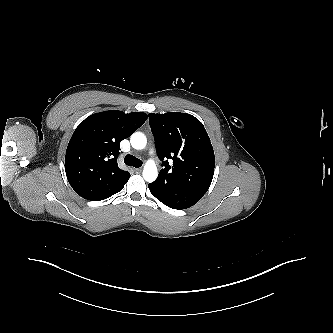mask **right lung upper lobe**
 Here are the masks:
<instances>
[{"mask_svg":"<svg viewBox=\"0 0 333 333\" xmlns=\"http://www.w3.org/2000/svg\"><path fill=\"white\" fill-rule=\"evenodd\" d=\"M148 115L110 110L89 116L74 131L65 156L67 179L74 191L90 201L119 191L130 174L118 167L120 142L135 132Z\"/></svg>","mask_w":333,"mask_h":333,"instance_id":"right-lung-upper-lobe-1","label":"right lung upper lobe"}]
</instances>
